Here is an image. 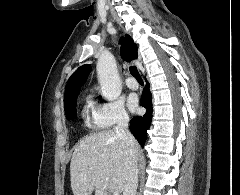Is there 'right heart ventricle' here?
I'll use <instances>...</instances> for the list:
<instances>
[{"instance_id": "right-heart-ventricle-1", "label": "right heart ventricle", "mask_w": 240, "mask_h": 195, "mask_svg": "<svg viewBox=\"0 0 240 195\" xmlns=\"http://www.w3.org/2000/svg\"><path fill=\"white\" fill-rule=\"evenodd\" d=\"M96 107L91 99H88L83 110L82 117L85 119L86 126L96 131H102L106 126L96 118ZM92 112V121H90V113Z\"/></svg>"}]
</instances>
